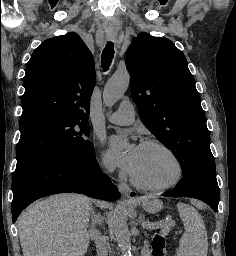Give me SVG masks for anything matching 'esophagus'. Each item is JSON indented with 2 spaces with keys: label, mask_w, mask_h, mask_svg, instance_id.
Returning a JSON list of instances; mask_svg holds the SVG:
<instances>
[{
  "label": "esophagus",
  "mask_w": 236,
  "mask_h": 256,
  "mask_svg": "<svg viewBox=\"0 0 236 256\" xmlns=\"http://www.w3.org/2000/svg\"><path fill=\"white\" fill-rule=\"evenodd\" d=\"M118 188H119L120 193L123 196H125L126 198H129L132 200V199L136 198V196H137V193L135 191L131 190V188L128 186V184H126L124 182L119 183Z\"/></svg>",
  "instance_id": "34e87169"
}]
</instances>
